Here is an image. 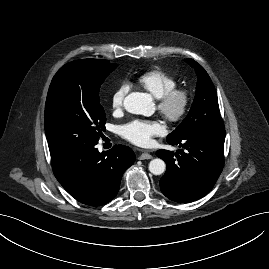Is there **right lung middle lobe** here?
<instances>
[{
  "label": "right lung middle lobe",
  "instance_id": "dd1d6c3e",
  "mask_svg": "<svg viewBox=\"0 0 269 269\" xmlns=\"http://www.w3.org/2000/svg\"><path fill=\"white\" fill-rule=\"evenodd\" d=\"M117 67L107 60L83 59L54 76L45 105V133L51 158L98 143L106 115L99 88Z\"/></svg>",
  "mask_w": 269,
  "mask_h": 269
}]
</instances>
